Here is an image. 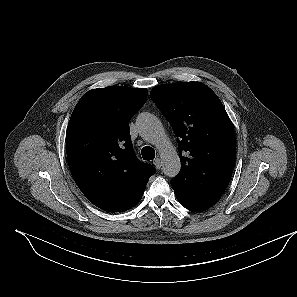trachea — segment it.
I'll return each mask as SVG.
<instances>
[{
	"instance_id": "3493384b",
	"label": "trachea",
	"mask_w": 297,
	"mask_h": 297,
	"mask_svg": "<svg viewBox=\"0 0 297 297\" xmlns=\"http://www.w3.org/2000/svg\"><path fill=\"white\" fill-rule=\"evenodd\" d=\"M141 154L144 160H153L155 158V150L150 146H145L141 150Z\"/></svg>"
}]
</instances>
